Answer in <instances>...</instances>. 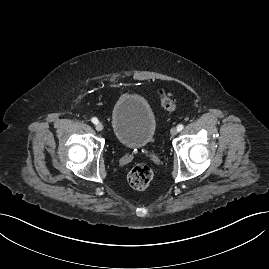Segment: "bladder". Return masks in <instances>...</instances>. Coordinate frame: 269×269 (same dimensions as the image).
Wrapping results in <instances>:
<instances>
[{
  "mask_svg": "<svg viewBox=\"0 0 269 269\" xmlns=\"http://www.w3.org/2000/svg\"><path fill=\"white\" fill-rule=\"evenodd\" d=\"M157 120L148 101L140 94L127 93L115 102L111 128L116 141L128 148L148 145L156 133Z\"/></svg>",
  "mask_w": 269,
  "mask_h": 269,
  "instance_id": "31cf9c89",
  "label": "bladder"
}]
</instances>
